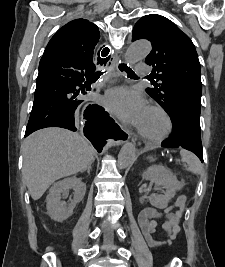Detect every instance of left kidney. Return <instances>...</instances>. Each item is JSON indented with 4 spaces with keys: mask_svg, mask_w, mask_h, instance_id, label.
I'll return each mask as SVG.
<instances>
[{
    "mask_svg": "<svg viewBox=\"0 0 225 267\" xmlns=\"http://www.w3.org/2000/svg\"><path fill=\"white\" fill-rule=\"evenodd\" d=\"M142 178L153 181L157 187L167 189L163 194H152L149 197L151 205L159 209H165L176 192L182 188L176 176L164 166H150L143 172Z\"/></svg>",
    "mask_w": 225,
    "mask_h": 267,
    "instance_id": "left-kidney-1",
    "label": "left kidney"
}]
</instances>
